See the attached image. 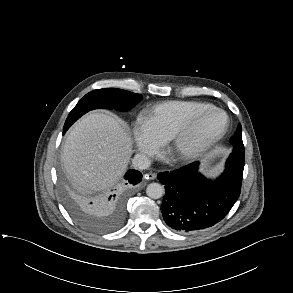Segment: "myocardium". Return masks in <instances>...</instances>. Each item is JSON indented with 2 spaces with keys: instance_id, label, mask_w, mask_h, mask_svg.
I'll list each match as a JSON object with an SVG mask.
<instances>
[{
  "instance_id": "f54148a6",
  "label": "myocardium",
  "mask_w": 293,
  "mask_h": 293,
  "mask_svg": "<svg viewBox=\"0 0 293 293\" xmlns=\"http://www.w3.org/2000/svg\"><path fill=\"white\" fill-rule=\"evenodd\" d=\"M208 112H217L223 117L221 127L206 139L189 143V138L200 119ZM229 117L227 113L216 107L208 106L192 114L168 139V151L176 162L194 160L211 149L227 132Z\"/></svg>"
}]
</instances>
